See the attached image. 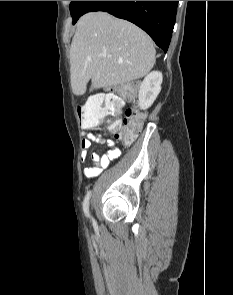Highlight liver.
I'll return each mask as SVG.
<instances>
[{
    "label": "liver",
    "mask_w": 233,
    "mask_h": 295,
    "mask_svg": "<svg viewBox=\"0 0 233 295\" xmlns=\"http://www.w3.org/2000/svg\"><path fill=\"white\" fill-rule=\"evenodd\" d=\"M155 55L152 39L136 25L89 12L79 19L70 47L72 91L83 95L89 80L94 89L142 78L153 68Z\"/></svg>",
    "instance_id": "1"
}]
</instances>
